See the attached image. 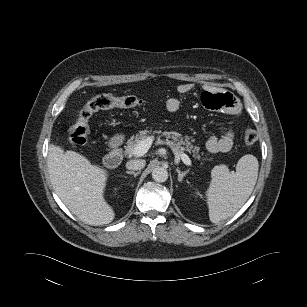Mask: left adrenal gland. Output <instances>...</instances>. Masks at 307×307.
Returning <instances> with one entry per match:
<instances>
[{"label": "left adrenal gland", "instance_id": "obj_1", "mask_svg": "<svg viewBox=\"0 0 307 307\" xmlns=\"http://www.w3.org/2000/svg\"><path fill=\"white\" fill-rule=\"evenodd\" d=\"M177 173H178V181L179 182H182L183 181V178L188 174L189 170H186L184 172H181L179 170V168L176 169Z\"/></svg>", "mask_w": 307, "mask_h": 307}]
</instances>
